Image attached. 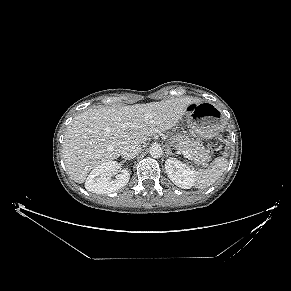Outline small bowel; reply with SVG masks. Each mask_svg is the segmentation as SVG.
Here are the masks:
<instances>
[{
    "instance_id": "obj_1",
    "label": "small bowel",
    "mask_w": 291,
    "mask_h": 291,
    "mask_svg": "<svg viewBox=\"0 0 291 291\" xmlns=\"http://www.w3.org/2000/svg\"><path fill=\"white\" fill-rule=\"evenodd\" d=\"M192 108H193V105L190 104V105L188 106V110H191Z\"/></svg>"
}]
</instances>
